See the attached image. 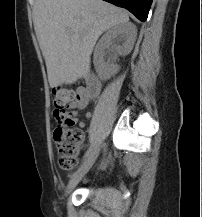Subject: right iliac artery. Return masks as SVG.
<instances>
[{"label":"right iliac artery","mask_w":202,"mask_h":217,"mask_svg":"<svg viewBox=\"0 0 202 217\" xmlns=\"http://www.w3.org/2000/svg\"><path fill=\"white\" fill-rule=\"evenodd\" d=\"M92 152H93V146H90V148L87 150V152L85 153L83 157V162L87 160V158L92 154Z\"/></svg>","instance_id":"right-iliac-artery-1"}]
</instances>
